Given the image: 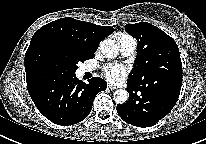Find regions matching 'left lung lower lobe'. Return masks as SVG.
<instances>
[{
	"label": "left lung lower lobe",
	"instance_id": "0a47b994",
	"mask_svg": "<svg viewBox=\"0 0 206 144\" xmlns=\"http://www.w3.org/2000/svg\"><path fill=\"white\" fill-rule=\"evenodd\" d=\"M129 100L117 106L119 116L128 124L150 127L164 118L176 104L181 86L148 87L127 80Z\"/></svg>",
	"mask_w": 206,
	"mask_h": 144
}]
</instances>
